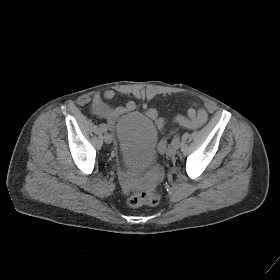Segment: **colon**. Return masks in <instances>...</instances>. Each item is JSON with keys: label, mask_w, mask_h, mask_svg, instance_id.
Segmentation results:
<instances>
[{"label": "colon", "mask_w": 280, "mask_h": 280, "mask_svg": "<svg viewBox=\"0 0 280 280\" xmlns=\"http://www.w3.org/2000/svg\"><path fill=\"white\" fill-rule=\"evenodd\" d=\"M155 173H159V168H155ZM160 201L157 191L151 187L145 191L136 192L128 196L127 204L130 207H138L141 205L154 206Z\"/></svg>", "instance_id": "obj_1"}]
</instances>
